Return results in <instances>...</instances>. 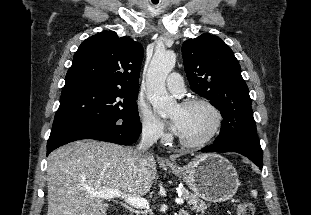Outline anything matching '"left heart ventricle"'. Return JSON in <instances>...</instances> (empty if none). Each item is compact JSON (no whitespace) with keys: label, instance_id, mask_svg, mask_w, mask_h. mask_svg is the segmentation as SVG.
I'll use <instances>...</instances> for the list:
<instances>
[{"label":"left heart ventricle","instance_id":"left-heart-ventricle-1","mask_svg":"<svg viewBox=\"0 0 311 215\" xmlns=\"http://www.w3.org/2000/svg\"><path fill=\"white\" fill-rule=\"evenodd\" d=\"M171 118L180 121L179 136L187 141L203 139L211 131L215 121L213 113L202 105L191 107L177 105L171 113Z\"/></svg>","mask_w":311,"mask_h":215}]
</instances>
